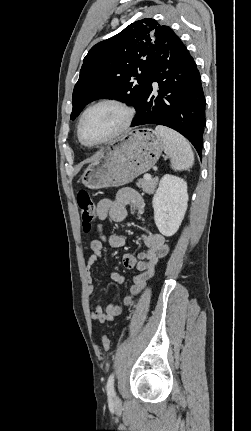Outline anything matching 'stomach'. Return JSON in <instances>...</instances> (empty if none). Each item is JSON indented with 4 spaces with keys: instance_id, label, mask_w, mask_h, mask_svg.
I'll return each instance as SVG.
<instances>
[{
    "instance_id": "0dacf381",
    "label": "stomach",
    "mask_w": 251,
    "mask_h": 431,
    "mask_svg": "<svg viewBox=\"0 0 251 431\" xmlns=\"http://www.w3.org/2000/svg\"><path fill=\"white\" fill-rule=\"evenodd\" d=\"M163 148L162 138L155 131L148 128L131 131L107 146L80 179L90 189L123 186L149 171Z\"/></svg>"
}]
</instances>
